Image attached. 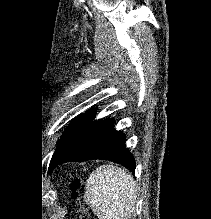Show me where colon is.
<instances>
[{"mask_svg": "<svg viewBox=\"0 0 211 219\" xmlns=\"http://www.w3.org/2000/svg\"><path fill=\"white\" fill-rule=\"evenodd\" d=\"M81 182L79 180L75 181L72 185L73 190L77 191L80 188ZM81 218L90 219L89 213L86 209H81Z\"/></svg>", "mask_w": 211, "mask_h": 219, "instance_id": "colon-1", "label": "colon"}]
</instances>
